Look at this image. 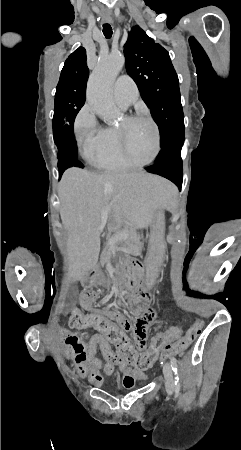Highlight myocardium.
Masks as SVG:
<instances>
[{
    "label": "myocardium",
    "instance_id": "myocardium-1",
    "mask_svg": "<svg viewBox=\"0 0 241 450\" xmlns=\"http://www.w3.org/2000/svg\"><path fill=\"white\" fill-rule=\"evenodd\" d=\"M134 118V116H128V117H126V119H133ZM154 127H159V122H154ZM125 133H126V130L125 129H120L119 131H118V137H117V142L119 143V149H121L122 150V157H126V161H127V157L129 156V153L128 152H125V150H124V145H125V139H124V135H125ZM153 137H154V139H153V141H152V144H153V158H152V160H148V162H155L156 161V157H158L159 156V153H158V145H159V142H162L163 141V138L162 137H158V131L157 130H154L153 131Z\"/></svg>",
    "mask_w": 241,
    "mask_h": 450
}]
</instances>
